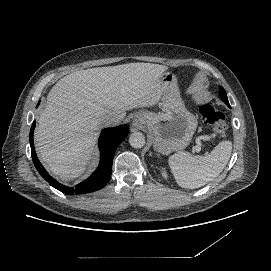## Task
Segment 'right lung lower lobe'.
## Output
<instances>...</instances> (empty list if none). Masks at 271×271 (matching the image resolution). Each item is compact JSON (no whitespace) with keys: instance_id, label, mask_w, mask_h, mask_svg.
<instances>
[{"instance_id":"98d812e1","label":"right lung lower lobe","mask_w":271,"mask_h":271,"mask_svg":"<svg viewBox=\"0 0 271 271\" xmlns=\"http://www.w3.org/2000/svg\"><path fill=\"white\" fill-rule=\"evenodd\" d=\"M35 125L36 122L34 121L30 130V145L33 163L40 175L51 186L68 195L94 192L100 190L107 184L112 173V163L115 151L128 134L127 125L104 129L99 137V148L101 152L99 167L88 179L76 185L75 188H69L58 183L55 179L48 175L47 171L38 160L33 143V132Z\"/></svg>"}]
</instances>
